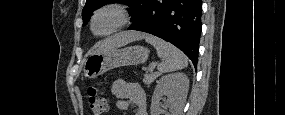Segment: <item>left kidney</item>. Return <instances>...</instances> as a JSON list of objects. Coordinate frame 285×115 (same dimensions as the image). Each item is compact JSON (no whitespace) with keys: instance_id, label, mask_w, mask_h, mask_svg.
Listing matches in <instances>:
<instances>
[{"instance_id":"5707ae66","label":"left kidney","mask_w":285,"mask_h":115,"mask_svg":"<svg viewBox=\"0 0 285 115\" xmlns=\"http://www.w3.org/2000/svg\"><path fill=\"white\" fill-rule=\"evenodd\" d=\"M189 89V79L181 72L163 76L157 82L151 100V115H161L162 107L168 108L171 115H180L186 102ZM167 96L164 104L160 101Z\"/></svg>"}]
</instances>
